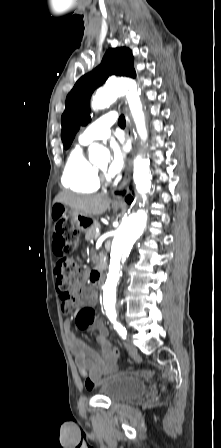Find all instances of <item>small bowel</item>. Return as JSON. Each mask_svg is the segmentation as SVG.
<instances>
[{"label":"small bowel","mask_w":221,"mask_h":448,"mask_svg":"<svg viewBox=\"0 0 221 448\" xmlns=\"http://www.w3.org/2000/svg\"><path fill=\"white\" fill-rule=\"evenodd\" d=\"M56 222L57 219L55 218L52 248L57 256H61L59 247L61 241L54 235ZM84 281V277L78 279V282L72 291L71 299L62 301L61 307L65 312L71 311L74 307L79 309L75 314L76 324L80 329L90 327L97 332L96 340L100 346L101 353L99 354L87 345L77 341L72 331L71 321L68 319L64 321V330L78 369L82 373L89 374L93 379H100L102 376L112 373L117 369L119 352L109 342L106 326L101 319L97 318L96 313L93 322L85 326L86 316L84 311L87 307L93 308L98 299L96 292L93 289L86 287Z\"/></svg>","instance_id":"obj_1"}]
</instances>
